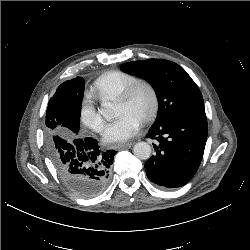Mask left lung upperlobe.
Segmentation results:
<instances>
[{"instance_id":"left-lung-upper-lobe-1","label":"left lung upper lobe","mask_w":250,"mask_h":250,"mask_svg":"<svg viewBox=\"0 0 250 250\" xmlns=\"http://www.w3.org/2000/svg\"><path fill=\"white\" fill-rule=\"evenodd\" d=\"M121 70L145 79L154 88L158 114L153 125L178 115L204 110L202 94L188 73L178 64L164 59L133 61Z\"/></svg>"}]
</instances>
